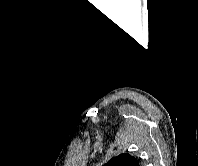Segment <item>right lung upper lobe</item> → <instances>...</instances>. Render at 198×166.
<instances>
[{"mask_svg": "<svg viewBox=\"0 0 198 166\" xmlns=\"http://www.w3.org/2000/svg\"><path fill=\"white\" fill-rule=\"evenodd\" d=\"M104 166H139L135 157L128 153L120 154L107 162Z\"/></svg>", "mask_w": 198, "mask_h": 166, "instance_id": "1", "label": "right lung upper lobe"}]
</instances>
